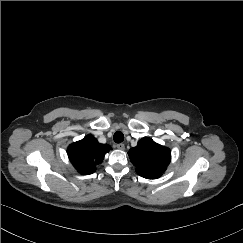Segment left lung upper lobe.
Here are the masks:
<instances>
[{
	"label": "left lung upper lobe",
	"instance_id": "left-lung-upper-lobe-1",
	"mask_svg": "<svg viewBox=\"0 0 243 243\" xmlns=\"http://www.w3.org/2000/svg\"><path fill=\"white\" fill-rule=\"evenodd\" d=\"M128 154L138 175L147 179L159 178L171 160L170 149L149 137L139 140L138 145L131 148Z\"/></svg>",
	"mask_w": 243,
	"mask_h": 243
}]
</instances>
